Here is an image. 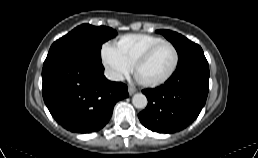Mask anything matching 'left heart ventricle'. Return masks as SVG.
Instances as JSON below:
<instances>
[{"label":"left heart ventricle","mask_w":258,"mask_h":158,"mask_svg":"<svg viewBox=\"0 0 258 158\" xmlns=\"http://www.w3.org/2000/svg\"><path fill=\"white\" fill-rule=\"evenodd\" d=\"M174 60L173 49L168 45L162 46L153 54L145 74L153 80L160 79L170 70Z\"/></svg>","instance_id":"1"}]
</instances>
